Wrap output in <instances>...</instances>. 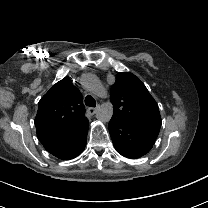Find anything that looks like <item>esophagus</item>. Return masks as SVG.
<instances>
[{
  "label": "esophagus",
  "mask_w": 208,
  "mask_h": 208,
  "mask_svg": "<svg viewBox=\"0 0 208 208\" xmlns=\"http://www.w3.org/2000/svg\"><path fill=\"white\" fill-rule=\"evenodd\" d=\"M100 108V105H98L97 107H90L87 109V113L92 116L94 115L95 113H97V111L99 110Z\"/></svg>",
  "instance_id": "1"
}]
</instances>
